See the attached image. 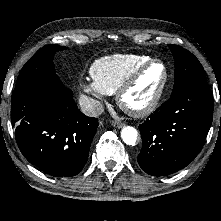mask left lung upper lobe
Masks as SVG:
<instances>
[{"label": "left lung upper lobe", "mask_w": 221, "mask_h": 221, "mask_svg": "<svg viewBox=\"0 0 221 221\" xmlns=\"http://www.w3.org/2000/svg\"><path fill=\"white\" fill-rule=\"evenodd\" d=\"M168 46L175 60V79L172 95L189 85L207 83L204 69L192 53L178 45Z\"/></svg>", "instance_id": "obj_1"}]
</instances>
